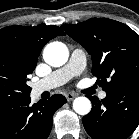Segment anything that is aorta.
I'll return each mask as SVG.
<instances>
[{"label":"aorta","instance_id":"762f6f07","mask_svg":"<svg viewBox=\"0 0 139 139\" xmlns=\"http://www.w3.org/2000/svg\"><path fill=\"white\" fill-rule=\"evenodd\" d=\"M69 52L64 43L52 42L46 45L43 58L47 64L53 67H60L68 60ZM73 109L80 115H87L91 110V102L86 97H77L73 101Z\"/></svg>","mask_w":139,"mask_h":139}]
</instances>
